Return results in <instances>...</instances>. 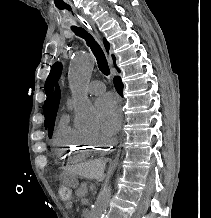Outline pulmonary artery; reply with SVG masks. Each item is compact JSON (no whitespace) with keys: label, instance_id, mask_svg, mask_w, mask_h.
Masks as SVG:
<instances>
[{"label":"pulmonary artery","instance_id":"obj_1","mask_svg":"<svg viewBox=\"0 0 211 218\" xmlns=\"http://www.w3.org/2000/svg\"><path fill=\"white\" fill-rule=\"evenodd\" d=\"M88 90H89V93L91 94H102L106 90V87L103 82L95 80L90 83ZM67 105L68 106L71 105L70 99L67 101Z\"/></svg>","mask_w":211,"mask_h":218}]
</instances>
